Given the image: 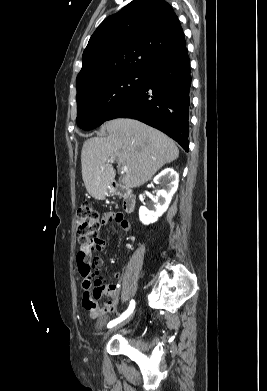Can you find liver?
<instances>
[{
    "mask_svg": "<svg viewBox=\"0 0 267 391\" xmlns=\"http://www.w3.org/2000/svg\"><path fill=\"white\" fill-rule=\"evenodd\" d=\"M105 128L108 136L87 139L81 152L82 178L87 192L95 199H104L115 179L109 159H118L121 166L128 167L123 183L136 188L179 156L171 138L137 120L118 118L106 122Z\"/></svg>",
    "mask_w": 267,
    "mask_h": 391,
    "instance_id": "1",
    "label": "liver"
}]
</instances>
